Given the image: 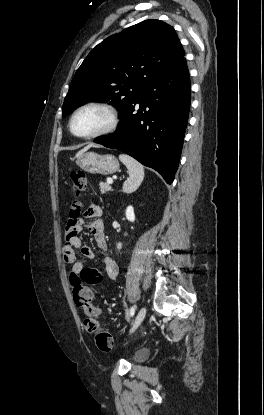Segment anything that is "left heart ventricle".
<instances>
[{
    "label": "left heart ventricle",
    "instance_id": "b2bd125f",
    "mask_svg": "<svg viewBox=\"0 0 264 415\" xmlns=\"http://www.w3.org/2000/svg\"><path fill=\"white\" fill-rule=\"evenodd\" d=\"M109 122V115L97 108L82 110L75 117L73 128L77 134L89 135L104 128Z\"/></svg>",
    "mask_w": 264,
    "mask_h": 415
}]
</instances>
